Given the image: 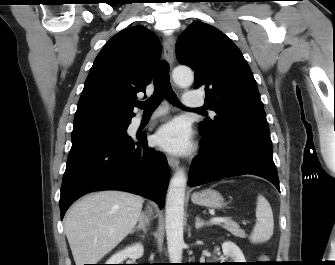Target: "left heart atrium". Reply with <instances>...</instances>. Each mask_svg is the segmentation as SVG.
I'll use <instances>...</instances> for the list:
<instances>
[{"mask_svg": "<svg viewBox=\"0 0 335 265\" xmlns=\"http://www.w3.org/2000/svg\"><path fill=\"white\" fill-rule=\"evenodd\" d=\"M155 142L169 152L183 153L190 147L188 127L181 120H173L157 131Z\"/></svg>", "mask_w": 335, "mask_h": 265, "instance_id": "obj_1", "label": "left heart atrium"}]
</instances>
